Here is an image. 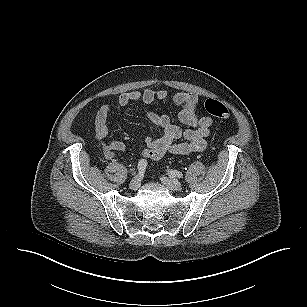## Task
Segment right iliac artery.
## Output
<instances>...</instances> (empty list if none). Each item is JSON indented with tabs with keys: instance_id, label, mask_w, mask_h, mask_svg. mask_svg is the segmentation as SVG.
Returning a JSON list of instances; mask_svg holds the SVG:
<instances>
[{
	"instance_id": "1",
	"label": "right iliac artery",
	"mask_w": 307,
	"mask_h": 307,
	"mask_svg": "<svg viewBox=\"0 0 307 307\" xmlns=\"http://www.w3.org/2000/svg\"><path fill=\"white\" fill-rule=\"evenodd\" d=\"M147 161L145 159H141L139 162H138V166H137V171L139 173H142L146 167H147Z\"/></svg>"
}]
</instances>
